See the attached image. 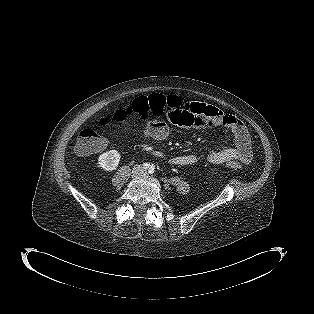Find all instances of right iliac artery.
Returning a JSON list of instances; mask_svg holds the SVG:
<instances>
[{
  "label": "right iliac artery",
  "instance_id": "82829eb1",
  "mask_svg": "<svg viewBox=\"0 0 314 314\" xmlns=\"http://www.w3.org/2000/svg\"><path fill=\"white\" fill-rule=\"evenodd\" d=\"M149 167H150V164H148V163H144V164H143V168H144V169H148Z\"/></svg>",
  "mask_w": 314,
  "mask_h": 314
}]
</instances>
